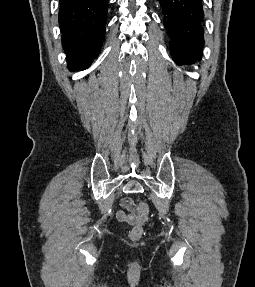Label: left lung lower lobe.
<instances>
[{"instance_id":"1","label":"left lung lower lobe","mask_w":255,"mask_h":287,"mask_svg":"<svg viewBox=\"0 0 255 287\" xmlns=\"http://www.w3.org/2000/svg\"><path fill=\"white\" fill-rule=\"evenodd\" d=\"M165 15L173 60L179 64L200 61L204 46L202 0H158Z\"/></svg>"}]
</instances>
